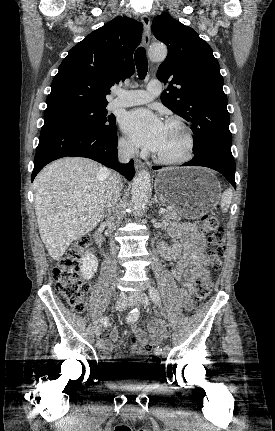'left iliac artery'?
<instances>
[{"label": "left iliac artery", "mask_w": 275, "mask_h": 431, "mask_svg": "<svg viewBox=\"0 0 275 431\" xmlns=\"http://www.w3.org/2000/svg\"><path fill=\"white\" fill-rule=\"evenodd\" d=\"M149 296L155 304L157 305L161 304L159 292L155 287L149 288ZM154 352L155 354L160 355L162 353V347L160 346L156 347Z\"/></svg>", "instance_id": "left-iliac-artery-1"}]
</instances>
